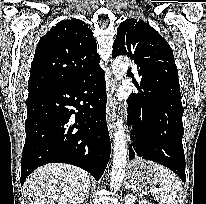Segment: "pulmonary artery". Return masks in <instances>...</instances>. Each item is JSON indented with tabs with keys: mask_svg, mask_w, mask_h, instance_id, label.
Instances as JSON below:
<instances>
[{
	"mask_svg": "<svg viewBox=\"0 0 206 204\" xmlns=\"http://www.w3.org/2000/svg\"><path fill=\"white\" fill-rule=\"evenodd\" d=\"M134 73H136V74H137V70H136V69H134Z\"/></svg>",
	"mask_w": 206,
	"mask_h": 204,
	"instance_id": "1",
	"label": "pulmonary artery"
}]
</instances>
